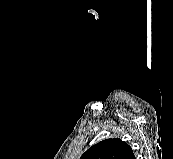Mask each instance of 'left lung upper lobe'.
<instances>
[{
    "label": "left lung upper lobe",
    "instance_id": "obj_1",
    "mask_svg": "<svg viewBox=\"0 0 173 159\" xmlns=\"http://www.w3.org/2000/svg\"><path fill=\"white\" fill-rule=\"evenodd\" d=\"M80 159H135V156L127 143L114 138L93 145Z\"/></svg>",
    "mask_w": 173,
    "mask_h": 159
}]
</instances>
